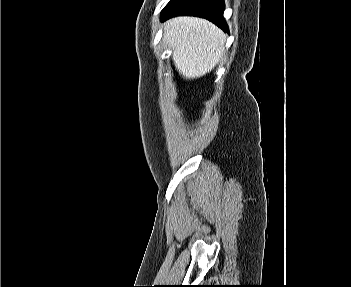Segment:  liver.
Instances as JSON below:
<instances>
[{
	"instance_id": "obj_1",
	"label": "liver",
	"mask_w": 351,
	"mask_h": 287,
	"mask_svg": "<svg viewBox=\"0 0 351 287\" xmlns=\"http://www.w3.org/2000/svg\"><path fill=\"white\" fill-rule=\"evenodd\" d=\"M163 41L173 51L172 59L178 72L186 79H195L218 64L226 35L205 19L185 16L164 23Z\"/></svg>"
}]
</instances>
